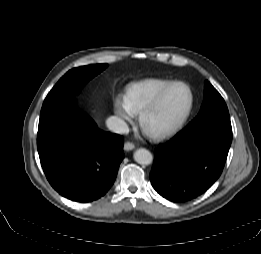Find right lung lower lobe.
Instances as JSON below:
<instances>
[{"instance_id":"right-lung-lower-lobe-1","label":"right lung lower lobe","mask_w":261,"mask_h":254,"mask_svg":"<svg viewBox=\"0 0 261 254\" xmlns=\"http://www.w3.org/2000/svg\"><path fill=\"white\" fill-rule=\"evenodd\" d=\"M74 109L73 96L43 103L38 153L49 183L59 194L73 201L90 202L103 196L114 183L124 158V140L99 130L85 114L70 123L67 112Z\"/></svg>"}]
</instances>
